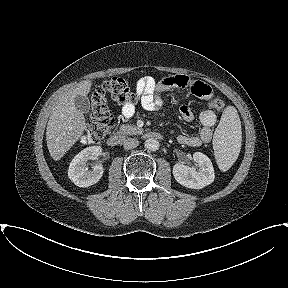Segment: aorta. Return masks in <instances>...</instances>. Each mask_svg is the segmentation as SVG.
<instances>
[{
    "label": "aorta",
    "mask_w": 288,
    "mask_h": 288,
    "mask_svg": "<svg viewBox=\"0 0 288 288\" xmlns=\"http://www.w3.org/2000/svg\"><path fill=\"white\" fill-rule=\"evenodd\" d=\"M144 146L149 151H156L159 149V142L154 138L145 140Z\"/></svg>",
    "instance_id": "1"
}]
</instances>
